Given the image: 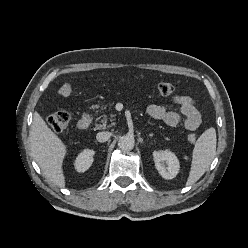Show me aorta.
Returning a JSON list of instances; mask_svg holds the SVG:
<instances>
[{
  "instance_id": "762f6f07",
  "label": "aorta",
  "mask_w": 248,
  "mask_h": 248,
  "mask_svg": "<svg viewBox=\"0 0 248 248\" xmlns=\"http://www.w3.org/2000/svg\"><path fill=\"white\" fill-rule=\"evenodd\" d=\"M135 140L132 135H124L118 141L119 149L123 151H130L134 148Z\"/></svg>"
}]
</instances>
